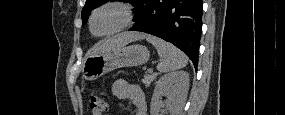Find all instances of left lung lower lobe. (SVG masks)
<instances>
[{
    "label": "left lung lower lobe",
    "instance_id": "obj_1",
    "mask_svg": "<svg viewBox=\"0 0 285 115\" xmlns=\"http://www.w3.org/2000/svg\"><path fill=\"white\" fill-rule=\"evenodd\" d=\"M130 29L162 38L181 49L198 65L202 32L201 0H143Z\"/></svg>",
    "mask_w": 285,
    "mask_h": 115
}]
</instances>
